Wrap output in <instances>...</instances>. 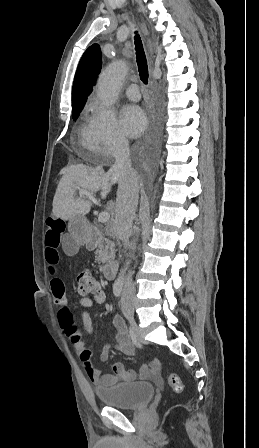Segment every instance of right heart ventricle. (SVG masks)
I'll list each match as a JSON object with an SVG mask.
<instances>
[{
    "label": "right heart ventricle",
    "instance_id": "e07e8e85",
    "mask_svg": "<svg viewBox=\"0 0 259 448\" xmlns=\"http://www.w3.org/2000/svg\"><path fill=\"white\" fill-rule=\"evenodd\" d=\"M96 118V112L91 102H87L80 116L78 128L88 145L89 136ZM96 159V158H94Z\"/></svg>",
    "mask_w": 259,
    "mask_h": 448
}]
</instances>
